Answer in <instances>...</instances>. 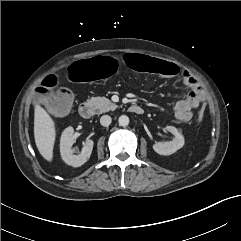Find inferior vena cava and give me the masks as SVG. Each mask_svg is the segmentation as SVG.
Masks as SVG:
<instances>
[{"label":"inferior vena cava","instance_id":"1","mask_svg":"<svg viewBox=\"0 0 241 241\" xmlns=\"http://www.w3.org/2000/svg\"><path fill=\"white\" fill-rule=\"evenodd\" d=\"M111 117L109 115H103L101 118H100V124L102 126H109L111 124Z\"/></svg>","mask_w":241,"mask_h":241}]
</instances>
